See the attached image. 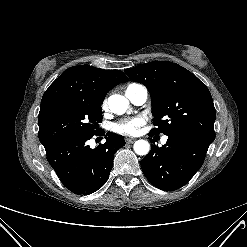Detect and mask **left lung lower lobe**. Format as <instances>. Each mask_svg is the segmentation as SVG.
<instances>
[{
	"label": "left lung lower lobe",
	"instance_id": "1",
	"mask_svg": "<svg viewBox=\"0 0 247 247\" xmlns=\"http://www.w3.org/2000/svg\"><path fill=\"white\" fill-rule=\"evenodd\" d=\"M167 136L165 145L152 146L141 161V168L155 187L174 191L187 184L200 169L211 143L187 133L175 132Z\"/></svg>",
	"mask_w": 247,
	"mask_h": 247
}]
</instances>
